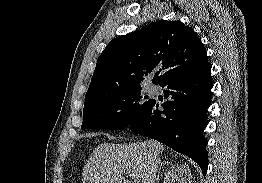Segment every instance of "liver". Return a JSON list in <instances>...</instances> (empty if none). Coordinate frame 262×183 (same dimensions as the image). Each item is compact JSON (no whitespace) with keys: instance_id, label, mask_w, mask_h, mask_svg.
<instances>
[{"instance_id":"obj_1","label":"liver","mask_w":262,"mask_h":183,"mask_svg":"<svg viewBox=\"0 0 262 183\" xmlns=\"http://www.w3.org/2000/svg\"><path fill=\"white\" fill-rule=\"evenodd\" d=\"M165 146L156 140L129 144L102 143L90 155L82 172L83 183H129L126 171L142 183H156L159 154Z\"/></svg>"}]
</instances>
